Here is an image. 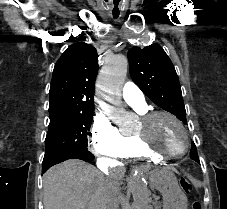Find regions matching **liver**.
Here are the masks:
<instances>
[{
    "label": "liver",
    "mask_w": 227,
    "mask_h": 209,
    "mask_svg": "<svg viewBox=\"0 0 227 209\" xmlns=\"http://www.w3.org/2000/svg\"><path fill=\"white\" fill-rule=\"evenodd\" d=\"M107 181L94 165L77 159L51 167L43 177L44 209H106Z\"/></svg>",
    "instance_id": "1"
}]
</instances>
